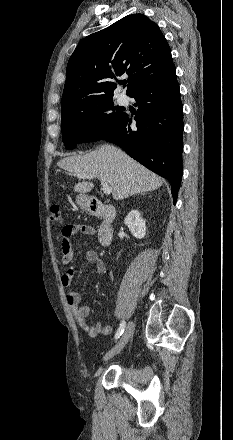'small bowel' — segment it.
Returning <instances> with one entry per match:
<instances>
[{
	"mask_svg": "<svg viewBox=\"0 0 233 440\" xmlns=\"http://www.w3.org/2000/svg\"><path fill=\"white\" fill-rule=\"evenodd\" d=\"M93 235L95 233L94 227L89 224H69L61 229V261L63 264H69L74 256L73 247L71 244V238L77 234ZM86 261L90 264L95 265L96 272L98 274H104L106 272V264L99 257L95 250H89L86 253ZM75 268L70 266L61 276V285L68 288L73 280V275ZM66 301L72 312V315L81 328L82 331L86 332L90 337L96 338L101 335H109L113 328L110 325H102L97 323L95 325H90L87 322V317L90 314L91 308L87 303L81 304V295L75 290H67Z\"/></svg>",
	"mask_w": 233,
	"mask_h": 440,
	"instance_id": "obj_1",
	"label": "small bowel"
}]
</instances>
